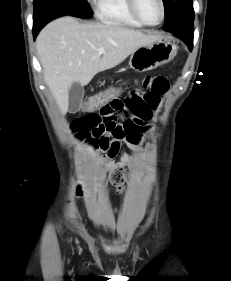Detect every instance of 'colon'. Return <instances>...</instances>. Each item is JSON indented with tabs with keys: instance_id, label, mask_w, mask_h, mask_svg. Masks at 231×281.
Instances as JSON below:
<instances>
[{
	"instance_id": "obj_1",
	"label": "colon",
	"mask_w": 231,
	"mask_h": 281,
	"mask_svg": "<svg viewBox=\"0 0 231 281\" xmlns=\"http://www.w3.org/2000/svg\"><path fill=\"white\" fill-rule=\"evenodd\" d=\"M121 89L116 86L110 87L102 92H99L90 97L84 104L83 109L86 111H95L110 103L115 97L120 95ZM109 179L111 184L121 191L126 183V174L122 167L113 168L109 172Z\"/></svg>"
}]
</instances>
